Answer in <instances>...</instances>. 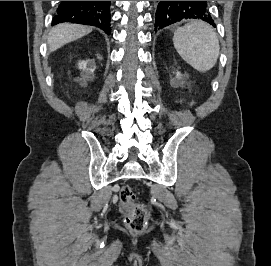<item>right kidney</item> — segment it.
<instances>
[{
	"label": "right kidney",
	"mask_w": 271,
	"mask_h": 266,
	"mask_svg": "<svg viewBox=\"0 0 271 266\" xmlns=\"http://www.w3.org/2000/svg\"><path fill=\"white\" fill-rule=\"evenodd\" d=\"M86 64H87V61H81L78 65H79L80 69L85 70L86 69ZM94 70H95L94 68L90 69L91 72H94Z\"/></svg>",
	"instance_id": "right-kidney-1"
}]
</instances>
